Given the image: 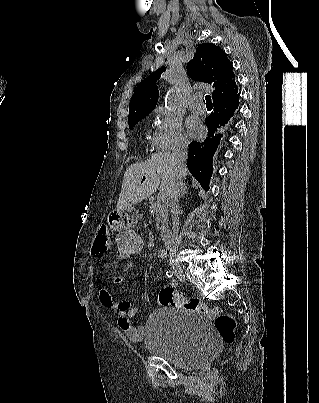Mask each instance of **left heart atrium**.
Here are the masks:
<instances>
[{
    "label": "left heart atrium",
    "mask_w": 319,
    "mask_h": 403,
    "mask_svg": "<svg viewBox=\"0 0 319 403\" xmlns=\"http://www.w3.org/2000/svg\"><path fill=\"white\" fill-rule=\"evenodd\" d=\"M187 131L190 136L196 137L202 134V126L196 118L190 117L187 120Z\"/></svg>",
    "instance_id": "left-heart-atrium-1"
}]
</instances>
